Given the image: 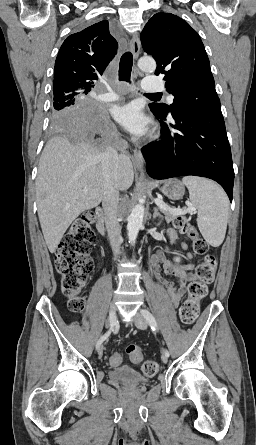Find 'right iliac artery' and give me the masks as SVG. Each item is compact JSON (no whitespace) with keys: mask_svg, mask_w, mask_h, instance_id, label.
Listing matches in <instances>:
<instances>
[{"mask_svg":"<svg viewBox=\"0 0 256 445\" xmlns=\"http://www.w3.org/2000/svg\"><path fill=\"white\" fill-rule=\"evenodd\" d=\"M115 325H116V317L112 320V322L110 324V329L103 336H101V338L97 341L96 349H98L99 346L110 336Z\"/></svg>","mask_w":256,"mask_h":445,"instance_id":"1","label":"right iliac artery"}]
</instances>
